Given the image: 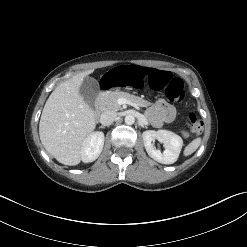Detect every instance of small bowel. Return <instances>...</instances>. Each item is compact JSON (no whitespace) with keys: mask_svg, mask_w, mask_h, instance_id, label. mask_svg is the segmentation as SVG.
<instances>
[{"mask_svg":"<svg viewBox=\"0 0 247 247\" xmlns=\"http://www.w3.org/2000/svg\"><path fill=\"white\" fill-rule=\"evenodd\" d=\"M150 115L154 124L158 126L162 122H171L175 116V109L165 100L160 99L151 108Z\"/></svg>","mask_w":247,"mask_h":247,"instance_id":"c3829d8e","label":"small bowel"}]
</instances>
